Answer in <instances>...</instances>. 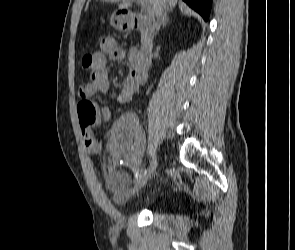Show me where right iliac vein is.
<instances>
[{
    "mask_svg": "<svg viewBox=\"0 0 295 250\" xmlns=\"http://www.w3.org/2000/svg\"><path fill=\"white\" fill-rule=\"evenodd\" d=\"M153 164L151 169L149 170V172H147L146 174L142 175L141 177H139L137 179V181L134 184V192H139L147 183V181L149 180V178L156 172V169L158 167V163L156 158L153 160Z\"/></svg>",
    "mask_w": 295,
    "mask_h": 250,
    "instance_id": "63e3f726",
    "label": "right iliac vein"
}]
</instances>
